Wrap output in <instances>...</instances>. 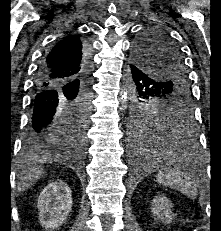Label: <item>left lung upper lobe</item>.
Masks as SVG:
<instances>
[{"label":"left lung upper lobe","mask_w":221,"mask_h":231,"mask_svg":"<svg viewBox=\"0 0 221 231\" xmlns=\"http://www.w3.org/2000/svg\"><path fill=\"white\" fill-rule=\"evenodd\" d=\"M133 57L138 66H149V75L165 87L142 101L141 109L132 115V131L138 136L152 137L161 131L152 124L155 118L174 124L190 117L191 88L181 50L171 37L157 28L146 29L135 41Z\"/></svg>","instance_id":"5c2ea615"}]
</instances>
